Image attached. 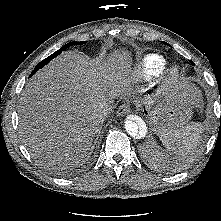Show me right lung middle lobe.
Masks as SVG:
<instances>
[{
	"instance_id": "dd1d6c3e",
	"label": "right lung middle lobe",
	"mask_w": 221,
	"mask_h": 221,
	"mask_svg": "<svg viewBox=\"0 0 221 221\" xmlns=\"http://www.w3.org/2000/svg\"><path fill=\"white\" fill-rule=\"evenodd\" d=\"M85 43L83 42H69L66 45H64L62 48H60L58 51H56L55 53H53L52 55H50L49 57H47L46 59L42 60L36 67L35 69L32 71L31 75H33L36 71H38L40 68H42L43 66H45L47 63L50 62V60H52L53 58H55L57 55H59L60 53H62L63 50L67 49L68 47L72 46V45H80ZM30 75V76H31Z\"/></svg>"
}]
</instances>
